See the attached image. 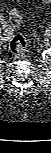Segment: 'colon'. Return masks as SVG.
<instances>
[{"label": "colon", "mask_w": 51, "mask_h": 153, "mask_svg": "<svg viewBox=\"0 0 51 153\" xmlns=\"http://www.w3.org/2000/svg\"><path fill=\"white\" fill-rule=\"evenodd\" d=\"M15 3H19V0H13ZM10 24L14 27L20 26L23 24V18L20 14L18 8H14L10 11L9 14ZM27 41L23 35H15L9 44L11 52L18 58L23 57L26 52Z\"/></svg>", "instance_id": "5ec220e1"}]
</instances>
